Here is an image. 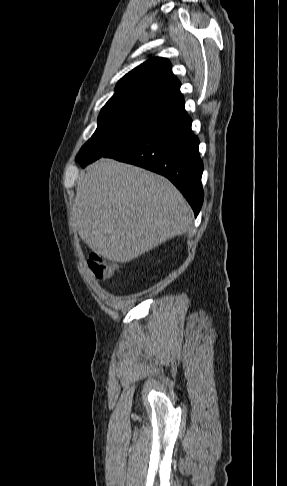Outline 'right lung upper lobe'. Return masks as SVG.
I'll return each mask as SVG.
<instances>
[{
  "label": "right lung upper lobe",
  "instance_id": "cb5924a9",
  "mask_svg": "<svg viewBox=\"0 0 287 486\" xmlns=\"http://www.w3.org/2000/svg\"><path fill=\"white\" fill-rule=\"evenodd\" d=\"M180 86L169 60L151 57L120 79L105 106L149 105L175 112L185 104Z\"/></svg>",
  "mask_w": 287,
  "mask_h": 486
}]
</instances>
